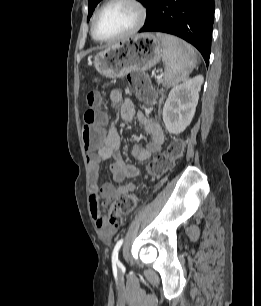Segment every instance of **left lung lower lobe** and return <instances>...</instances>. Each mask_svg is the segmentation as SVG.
Instances as JSON below:
<instances>
[{
    "label": "left lung lower lobe",
    "mask_w": 261,
    "mask_h": 306,
    "mask_svg": "<svg viewBox=\"0 0 261 306\" xmlns=\"http://www.w3.org/2000/svg\"><path fill=\"white\" fill-rule=\"evenodd\" d=\"M139 32L173 34L195 46L209 63L214 0H150Z\"/></svg>",
    "instance_id": "0a47b994"
}]
</instances>
